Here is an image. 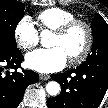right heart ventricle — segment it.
Segmentation results:
<instances>
[{"label":"right heart ventricle","mask_w":108,"mask_h":108,"mask_svg":"<svg viewBox=\"0 0 108 108\" xmlns=\"http://www.w3.org/2000/svg\"><path fill=\"white\" fill-rule=\"evenodd\" d=\"M76 19V16L63 8H48L40 12L37 21L43 30L54 31L69 21Z\"/></svg>","instance_id":"e07e8e85"}]
</instances>
